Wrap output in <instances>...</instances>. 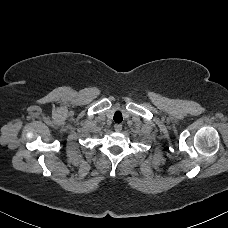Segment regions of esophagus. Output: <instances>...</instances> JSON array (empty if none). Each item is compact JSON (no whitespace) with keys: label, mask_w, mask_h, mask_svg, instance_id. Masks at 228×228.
I'll list each match as a JSON object with an SVG mask.
<instances>
[{"label":"esophagus","mask_w":228,"mask_h":228,"mask_svg":"<svg viewBox=\"0 0 228 228\" xmlns=\"http://www.w3.org/2000/svg\"><path fill=\"white\" fill-rule=\"evenodd\" d=\"M114 129L116 132H120L122 130V125L121 124H115Z\"/></svg>","instance_id":"34e87169"}]
</instances>
